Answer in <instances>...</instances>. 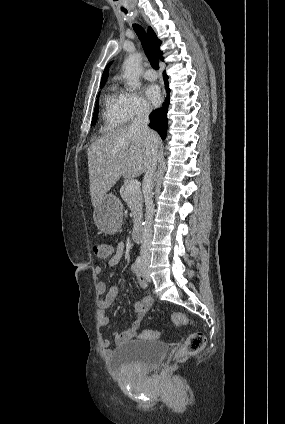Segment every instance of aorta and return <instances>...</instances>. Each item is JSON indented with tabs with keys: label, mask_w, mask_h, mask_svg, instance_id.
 I'll use <instances>...</instances> for the list:
<instances>
[{
	"label": "aorta",
	"mask_w": 285,
	"mask_h": 424,
	"mask_svg": "<svg viewBox=\"0 0 285 424\" xmlns=\"http://www.w3.org/2000/svg\"><path fill=\"white\" fill-rule=\"evenodd\" d=\"M142 56L140 53H134L124 61V78L130 90H136L139 87V76L141 71Z\"/></svg>",
	"instance_id": "762f6f07"
}]
</instances>
